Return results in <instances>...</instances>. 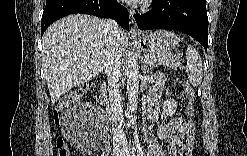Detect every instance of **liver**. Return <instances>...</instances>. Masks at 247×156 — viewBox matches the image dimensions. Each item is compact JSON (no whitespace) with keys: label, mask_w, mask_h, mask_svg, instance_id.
I'll use <instances>...</instances> for the list:
<instances>
[{"label":"liver","mask_w":247,"mask_h":156,"mask_svg":"<svg viewBox=\"0 0 247 156\" xmlns=\"http://www.w3.org/2000/svg\"><path fill=\"white\" fill-rule=\"evenodd\" d=\"M106 20L74 14L50 25L42 38L45 79L54 104L70 89L98 76L111 50ZM118 47L123 54L128 34L120 29Z\"/></svg>","instance_id":"6515ba94"}]
</instances>
